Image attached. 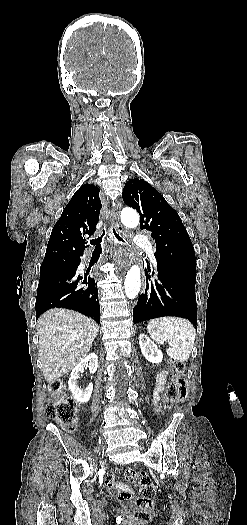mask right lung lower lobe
<instances>
[{
	"instance_id": "1",
	"label": "right lung lower lobe",
	"mask_w": 247,
	"mask_h": 525,
	"mask_svg": "<svg viewBox=\"0 0 247 525\" xmlns=\"http://www.w3.org/2000/svg\"><path fill=\"white\" fill-rule=\"evenodd\" d=\"M74 257V264L67 269L45 275L40 278L36 297V318L51 308H67L92 317L100 323L98 290L92 278L76 276L80 256ZM88 284L81 288V284Z\"/></svg>"
}]
</instances>
